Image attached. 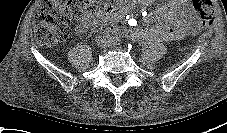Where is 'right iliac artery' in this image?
Here are the masks:
<instances>
[{
	"instance_id": "obj_1",
	"label": "right iliac artery",
	"mask_w": 227,
	"mask_h": 133,
	"mask_svg": "<svg viewBox=\"0 0 227 133\" xmlns=\"http://www.w3.org/2000/svg\"><path fill=\"white\" fill-rule=\"evenodd\" d=\"M106 34H107V37L110 38V40H112V38H111V37H112V36H111V33L107 32ZM112 34H113V32H112Z\"/></svg>"
}]
</instances>
